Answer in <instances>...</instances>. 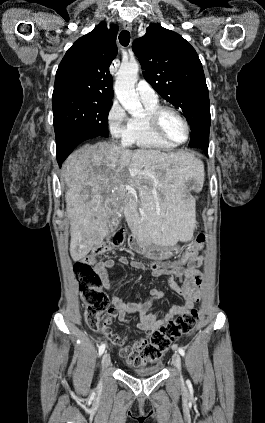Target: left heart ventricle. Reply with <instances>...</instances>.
I'll list each match as a JSON object with an SVG mask.
<instances>
[{"mask_svg":"<svg viewBox=\"0 0 265 423\" xmlns=\"http://www.w3.org/2000/svg\"><path fill=\"white\" fill-rule=\"evenodd\" d=\"M161 125L166 135L176 142L186 137V129L182 121L173 113L166 112L161 119Z\"/></svg>","mask_w":265,"mask_h":423,"instance_id":"left-heart-ventricle-1","label":"left heart ventricle"}]
</instances>
